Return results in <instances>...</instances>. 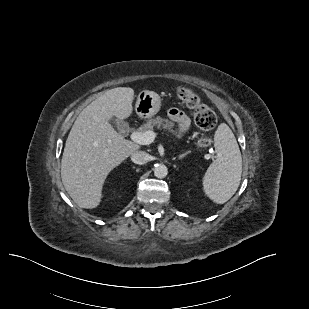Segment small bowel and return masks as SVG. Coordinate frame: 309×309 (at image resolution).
<instances>
[{"instance_id": "obj_1", "label": "small bowel", "mask_w": 309, "mask_h": 309, "mask_svg": "<svg viewBox=\"0 0 309 309\" xmlns=\"http://www.w3.org/2000/svg\"><path fill=\"white\" fill-rule=\"evenodd\" d=\"M169 117L173 120L178 126V132L184 133L190 126L189 117L181 110L172 108L169 111Z\"/></svg>"}]
</instances>
